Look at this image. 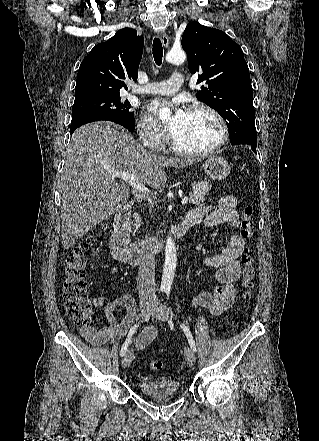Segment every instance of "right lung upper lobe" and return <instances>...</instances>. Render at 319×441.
Here are the masks:
<instances>
[{
  "label": "right lung upper lobe",
  "instance_id": "cb5924a9",
  "mask_svg": "<svg viewBox=\"0 0 319 441\" xmlns=\"http://www.w3.org/2000/svg\"><path fill=\"white\" fill-rule=\"evenodd\" d=\"M144 45L137 31L123 28L108 41L97 44L83 59L77 74L75 100L119 96L124 80H137Z\"/></svg>",
  "mask_w": 319,
  "mask_h": 441
}]
</instances>
